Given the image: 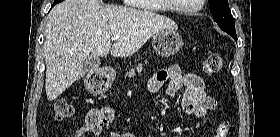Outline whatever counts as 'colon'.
I'll return each instance as SVG.
<instances>
[{"mask_svg": "<svg viewBox=\"0 0 280 137\" xmlns=\"http://www.w3.org/2000/svg\"><path fill=\"white\" fill-rule=\"evenodd\" d=\"M223 67V58L218 53H211L206 56L203 63V70L207 75H215L221 71ZM74 108L72 104L64 98H59L54 104V116L58 121L70 118ZM230 129V123L219 124L215 137H226Z\"/></svg>", "mask_w": 280, "mask_h": 137, "instance_id": "obj_1", "label": "colon"}]
</instances>
